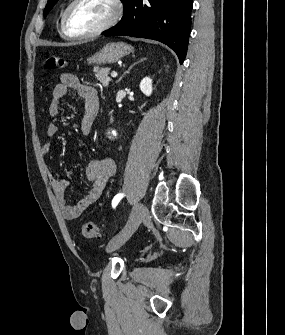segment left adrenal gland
I'll use <instances>...</instances> for the list:
<instances>
[{"mask_svg": "<svg viewBox=\"0 0 285 335\" xmlns=\"http://www.w3.org/2000/svg\"><path fill=\"white\" fill-rule=\"evenodd\" d=\"M144 60H146V58H141V60H139V62H144ZM139 62H135V64H132V66H130V68H128L127 72H124V74H122L121 78H119V80H117L116 84H118V82H121L122 78H124V76H126V74H129L130 70H132L133 66H136V64H139Z\"/></svg>", "mask_w": 285, "mask_h": 335, "instance_id": "left-adrenal-gland-1", "label": "left adrenal gland"}]
</instances>
